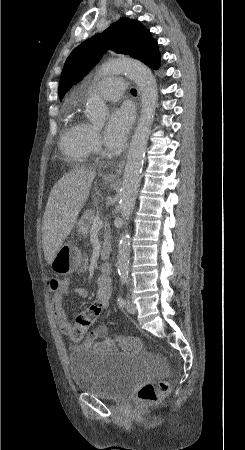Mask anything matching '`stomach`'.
<instances>
[{"mask_svg":"<svg viewBox=\"0 0 245 450\" xmlns=\"http://www.w3.org/2000/svg\"><path fill=\"white\" fill-rule=\"evenodd\" d=\"M82 263L80 250L73 244H63L56 253L51 268L54 272L62 275L70 274L77 270Z\"/></svg>","mask_w":245,"mask_h":450,"instance_id":"stomach-1","label":"stomach"}]
</instances>
